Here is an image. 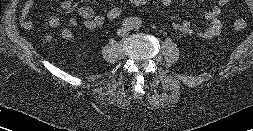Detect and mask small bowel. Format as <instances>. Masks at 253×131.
Wrapping results in <instances>:
<instances>
[{"label": "small bowel", "instance_id": "obj_1", "mask_svg": "<svg viewBox=\"0 0 253 131\" xmlns=\"http://www.w3.org/2000/svg\"><path fill=\"white\" fill-rule=\"evenodd\" d=\"M173 0H161L162 4L165 7L171 5ZM230 0H217V5L206 11L204 14V18L206 21V26L203 29H197L192 26L191 22L187 19H183L180 21H176L172 23V27L183 33L192 36H196L203 39H211L220 34L222 29V23L220 20V15L222 11V7L226 6ZM34 6V0H27L22 9V16L20 19V24L22 28L27 31L33 29V23L29 18L30 11ZM73 6L71 0H63L60 3V7L63 10H70ZM105 16L100 13H96L92 7L84 5L81 6L78 10V17H73L70 19L69 23L72 27H77L80 23H82L87 29L94 30L97 29L105 23ZM47 25L50 28H57L60 25V19L55 16H49L47 18ZM60 36L64 40H72L74 34L69 28H62L60 30ZM52 38L51 34L46 33L43 36V40L48 42Z\"/></svg>", "mask_w": 253, "mask_h": 131}]
</instances>
